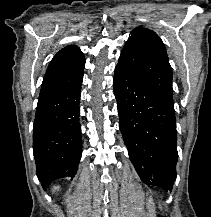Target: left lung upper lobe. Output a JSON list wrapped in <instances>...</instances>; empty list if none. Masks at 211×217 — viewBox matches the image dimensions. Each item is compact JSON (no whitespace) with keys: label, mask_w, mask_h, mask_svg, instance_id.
Returning <instances> with one entry per match:
<instances>
[{"label":"left lung upper lobe","mask_w":211,"mask_h":217,"mask_svg":"<svg viewBox=\"0 0 211 217\" xmlns=\"http://www.w3.org/2000/svg\"><path fill=\"white\" fill-rule=\"evenodd\" d=\"M118 65L174 104L172 69L164 43L154 31L143 27L132 30L121 51Z\"/></svg>","instance_id":"5c2ea615"}]
</instances>
